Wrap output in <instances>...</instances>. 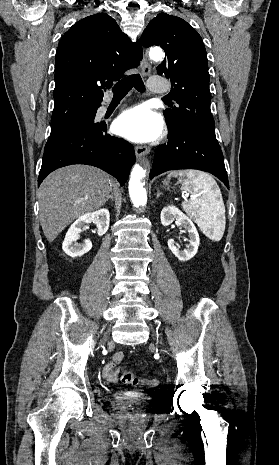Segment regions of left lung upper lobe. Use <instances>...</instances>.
Segmentation results:
<instances>
[{
	"label": "left lung upper lobe",
	"instance_id": "obj_1",
	"mask_svg": "<svg viewBox=\"0 0 279 465\" xmlns=\"http://www.w3.org/2000/svg\"><path fill=\"white\" fill-rule=\"evenodd\" d=\"M141 43L160 46L167 55L157 73L171 80L169 95L178 103L168 104L163 112L168 129L189 128L216 139L207 56L200 35L183 19L160 13L149 22Z\"/></svg>",
	"mask_w": 279,
	"mask_h": 465
}]
</instances>
